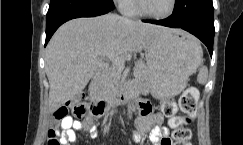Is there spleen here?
I'll use <instances>...</instances> for the list:
<instances>
[{
  "label": "spleen",
  "mask_w": 243,
  "mask_h": 145,
  "mask_svg": "<svg viewBox=\"0 0 243 145\" xmlns=\"http://www.w3.org/2000/svg\"><path fill=\"white\" fill-rule=\"evenodd\" d=\"M201 61H202V50L199 51L198 65H200ZM207 79H208V68L206 66H202L198 72L197 82L201 85H204L206 84Z\"/></svg>",
  "instance_id": "3e777b00"
}]
</instances>
